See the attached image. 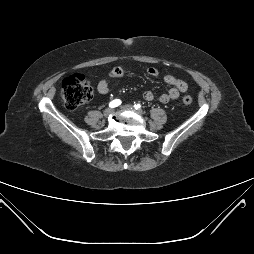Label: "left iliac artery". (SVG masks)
Here are the masks:
<instances>
[{
    "mask_svg": "<svg viewBox=\"0 0 254 254\" xmlns=\"http://www.w3.org/2000/svg\"><path fill=\"white\" fill-rule=\"evenodd\" d=\"M134 108L138 110V109L141 108V105L137 103V104L134 105Z\"/></svg>",
    "mask_w": 254,
    "mask_h": 254,
    "instance_id": "obj_1",
    "label": "left iliac artery"
}]
</instances>
